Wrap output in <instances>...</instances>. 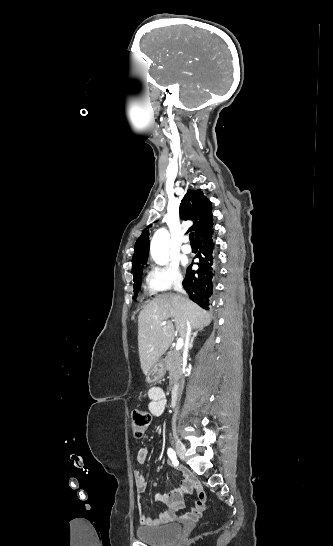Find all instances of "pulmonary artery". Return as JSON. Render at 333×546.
<instances>
[{"mask_svg": "<svg viewBox=\"0 0 333 546\" xmlns=\"http://www.w3.org/2000/svg\"><path fill=\"white\" fill-rule=\"evenodd\" d=\"M181 251L185 254H189L192 249L189 244H187V239L184 240V244L181 246Z\"/></svg>", "mask_w": 333, "mask_h": 546, "instance_id": "pulmonary-artery-1", "label": "pulmonary artery"}]
</instances>
